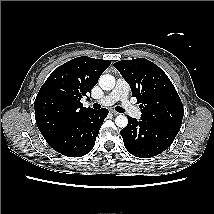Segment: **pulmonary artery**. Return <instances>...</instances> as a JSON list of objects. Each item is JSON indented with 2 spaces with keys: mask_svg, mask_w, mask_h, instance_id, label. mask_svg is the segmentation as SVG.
I'll use <instances>...</instances> for the list:
<instances>
[{
  "mask_svg": "<svg viewBox=\"0 0 214 214\" xmlns=\"http://www.w3.org/2000/svg\"><path fill=\"white\" fill-rule=\"evenodd\" d=\"M129 85L128 83L119 78L116 82L114 89L107 95L100 98L97 102L103 106H109L117 101L121 102L122 107L125 111L134 118H140V109L128 99Z\"/></svg>",
  "mask_w": 214,
  "mask_h": 214,
  "instance_id": "obj_1",
  "label": "pulmonary artery"
}]
</instances>
